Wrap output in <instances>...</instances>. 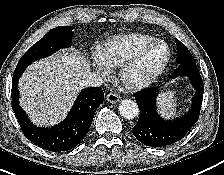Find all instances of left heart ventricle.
<instances>
[{
    "label": "left heart ventricle",
    "instance_id": "left-heart-ventricle-1",
    "mask_svg": "<svg viewBox=\"0 0 224 175\" xmlns=\"http://www.w3.org/2000/svg\"><path fill=\"white\" fill-rule=\"evenodd\" d=\"M164 55L165 48L163 46H156L150 49L134 70L133 77H141L153 71L160 64Z\"/></svg>",
    "mask_w": 224,
    "mask_h": 175
}]
</instances>
